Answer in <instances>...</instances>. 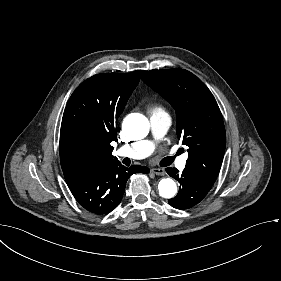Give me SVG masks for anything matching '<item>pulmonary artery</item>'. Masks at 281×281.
<instances>
[{"instance_id": "e3ab8cb5", "label": "pulmonary artery", "mask_w": 281, "mask_h": 281, "mask_svg": "<svg viewBox=\"0 0 281 281\" xmlns=\"http://www.w3.org/2000/svg\"><path fill=\"white\" fill-rule=\"evenodd\" d=\"M170 124L168 115L163 111H156L150 117L148 129L153 132L152 138L155 141H160L167 131V126ZM156 149V143L151 140H141L135 144H128L122 148V155L125 158H138L141 153L142 157H147ZM186 157L179 162V167L183 169L186 165Z\"/></svg>"}]
</instances>
